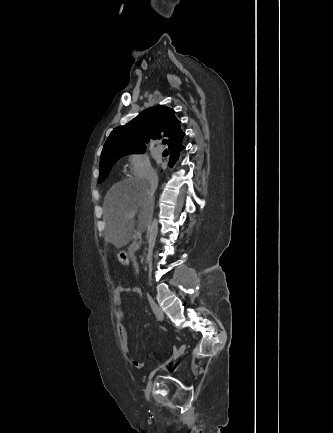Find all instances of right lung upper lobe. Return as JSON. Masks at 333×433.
Wrapping results in <instances>:
<instances>
[{
    "label": "right lung upper lobe",
    "mask_w": 333,
    "mask_h": 433,
    "mask_svg": "<svg viewBox=\"0 0 333 433\" xmlns=\"http://www.w3.org/2000/svg\"><path fill=\"white\" fill-rule=\"evenodd\" d=\"M168 136L169 150L182 145L185 133L174 110L165 106L150 107L124 126L115 128L108 137L101 160L113 154L145 150L149 139Z\"/></svg>",
    "instance_id": "right-lung-upper-lobe-1"
}]
</instances>
